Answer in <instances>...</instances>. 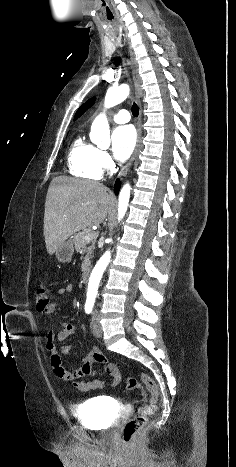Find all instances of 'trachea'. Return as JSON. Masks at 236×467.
<instances>
[{
	"mask_svg": "<svg viewBox=\"0 0 236 467\" xmlns=\"http://www.w3.org/2000/svg\"><path fill=\"white\" fill-rule=\"evenodd\" d=\"M132 114L133 116L137 117L139 114V108L136 103L132 105Z\"/></svg>",
	"mask_w": 236,
	"mask_h": 467,
	"instance_id": "trachea-1",
	"label": "trachea"
}]
</instances>
